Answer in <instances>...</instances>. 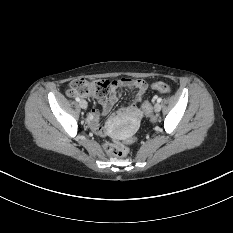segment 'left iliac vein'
I'll list each match as a JSON object with an SVG mask.
<instances>
[{"instance_id": "left-iliac-vein-1", "label": "left iliac vein", "mask_w": 233, "mask_h": 233, "mask_svg": "<svg viewBox=\"0 0 233 233\" xmlns=\"http://www.w3.org/2000/svg\"><path fill=\"white\" fill-rule=\"evenodd\" d=\"M161 110V104L158 102L154 105V111L155 112H160Z\"/></svg>"}]
</instances>
